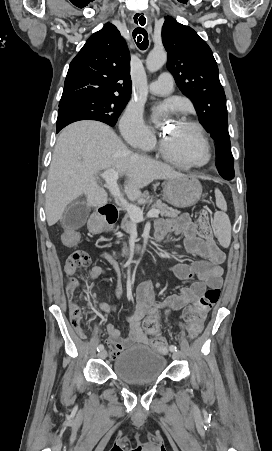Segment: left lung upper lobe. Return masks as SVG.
Listing matches in <instances>:
<instances>
[{
	"label": "left lung upper lobe",
	"instance_id": "left-lung-upper-lobe-1",
	"mask_svg": "<svg viewBox=\"0 0 272 451\" xmlns=\"http://www.w3.org/2000/svg\"><path fill=\"white\" fill-rule=\"evenodd\" d=\"M162 41L168 52V70L180 90L192 100L200 123L216 142L219 174L224 179L234 178L226 97L210 47L192 28L171 16L165 17Z\"/></svg>",
	"mask_w": 272,
	"mask_h": 451
}]
</instances>
